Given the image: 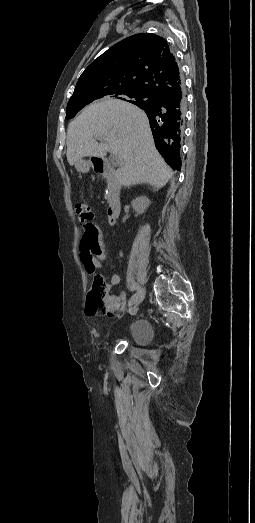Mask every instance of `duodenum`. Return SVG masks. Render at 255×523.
Listing matches in <instances>:
<instances>
[{
	"mask_svg": "<svg viewBox=\"0 0 255 523\" xmlns=\"http://www.w3.org/2000/svg\"><path fill=\"white\" fill-rule=\"evenodd\" d=\"M91 168L107 181V220L110 225L116 223L121 211V184L115 165L109 160L93 156L90 159Z\"/></svg>",
	"mask_w": 255,
	"mask_h": 523,
	"instance_id": "410a0bca",
	"label": "duodenum"
}]
</instances>
